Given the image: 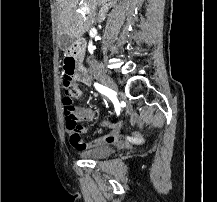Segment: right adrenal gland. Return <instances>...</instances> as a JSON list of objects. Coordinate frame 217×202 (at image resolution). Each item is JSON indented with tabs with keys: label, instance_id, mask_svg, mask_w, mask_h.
Instances as JSON below:
<instances>
[{
	"label": "right adrenal gland",
	"instance_id": "2a0ac1e0",
	"mask_svg": "<svg viewBox=\"0 0 217 202\" xmlns=\"http://www.w3.org/2000/svg\"><path fill=\"white\" fill-rule=\"evenodd\" d=\"M109 6L110 4H102V8H100V12L98 14V20H100V22H102V20H104L108 10H109Z\"/></svg>",
	"mask_w": 217,
	"mask_h": 202
}]
</instances>
